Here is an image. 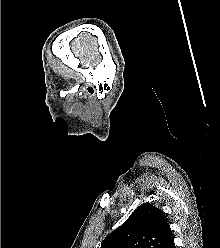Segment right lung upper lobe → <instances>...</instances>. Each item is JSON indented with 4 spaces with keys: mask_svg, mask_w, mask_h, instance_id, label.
Segmentation results:
<instances>
[{
    "mask_svg": "<svg viewBox=\"0 0 220 248\" xmlns=\"http://www.w3.org/2000/svg\"><path fill=\"white\" fill-rule=\"evenodd\" d=\"M172 238L164 213L150 203L141 204L101 243V248H163Z\"/></svg>",
    "mask_w": 220,
    "mask_h": 248,
    "instance_id": "1",
    "label": "right lung upper lobe"
}]
</instances>
